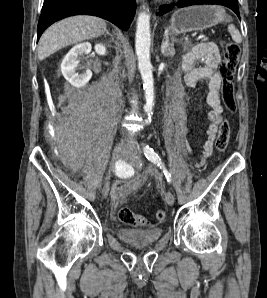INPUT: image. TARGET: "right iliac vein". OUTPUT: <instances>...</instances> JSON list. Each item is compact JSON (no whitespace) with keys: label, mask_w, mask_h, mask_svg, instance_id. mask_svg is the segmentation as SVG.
<instances>
[{"label":"right iliac vein","mask_w":267,"mask_h":298,"mask_svg":"<svg viewBox=\"0 0 267 298\" xmlns=\"http://www.w3.org/2000/svg\"><path fill=\"white\" fill-rule=\"evenodd\" d=\"M123 151H124L123 145H118L114 148L113 153H112V164H114V162L120 158ZM108 179H109V175H107L105 183H104L103 188H102V194H103L104 197H107L108 193H109V181H108Z\"/></svg>","instance_id":"1"}]
</instances>
